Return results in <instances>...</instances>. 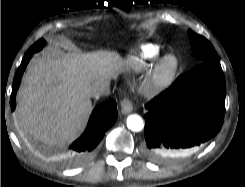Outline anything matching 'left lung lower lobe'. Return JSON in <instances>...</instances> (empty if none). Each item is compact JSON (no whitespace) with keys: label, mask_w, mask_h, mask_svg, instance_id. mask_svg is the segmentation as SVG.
Wrapping results in <instances>:
<instances>
[{"label":"left lung lower lobe","mask_w":245,"mask_h":187,"mask_svg":"<svg viewBox=\"0 0 245 187\" xmlns=\"http://www.w3.org/2000/svg\"><path fill=\"white\" fill-rule=\"evenodd\" d=\"M226 85L217 59L201 63L146 105L145 140L152 157L199 147L221 129Z\"/></svg>","instance_id":"0a47b994"}]
</instances>
